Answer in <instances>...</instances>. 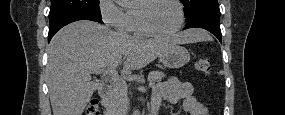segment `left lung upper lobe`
Returning a JSON list of instances; mask_svg holds the SVG:
<instances>
[{"label":"left lung upper lobe","instance_id":"obj_1","mask_svg":"<svg viewBox=\"0 0 285 115\" xmlns=\"http://www.w3.org/2000/svg\"><path fill=\"white\" fill-rule=\"evenodd\" d=\"M181 2L185 7L184 9L185 16H188L198 7L209 3H217V0H181Z\"/></svg>","mask_w":285,"mask_h":115}]
</instances>
